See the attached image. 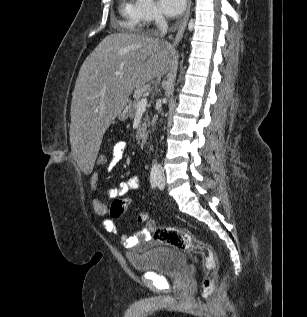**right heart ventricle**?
Masks as SVG:
<instances>
[{"label":"right heart ventricle","mask_w":307,"mask_h":317,"mask_svg":"<svg viewBox=\"0 0 307 317\" xmlns=\"http://www.w3.org/2000/svg\"><path fill=\"white\" fill-rule=\"evenodd\" d=\"M120 14L123 26L130 31H137L141 27V20L137 14V2L134 0H121Z\"/></svg>","instance_id":"1"}]
</instances>
